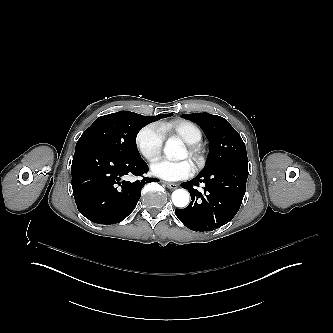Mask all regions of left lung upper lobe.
Returning a JSON list of instances; mask_svg holds the SVG:
<instances>
[{
  "label": "left lung upper lobe",
  "mask_w": 333,
  "mask_h": 333,
  "mask_svg": "<svg viewBox=\"0 0 333 333\" xmlns=\"http://www.w3.org/2000/svg\"><path fill=\"white\" fill-rule=\"evenodd\" d=\"M181 116L198 124L210 142V156L201 175L209 174L230 162L248 161L243 140L226 119L208 113Z\"/></svg>",
  "instance_id": "1"
}]
</instances>
